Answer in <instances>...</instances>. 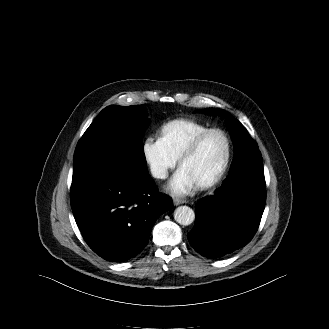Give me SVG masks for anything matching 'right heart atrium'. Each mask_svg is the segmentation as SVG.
I'll list each match as a JSON object with an SVG mask.
<instances>
[{
	"instance_id": "1",
	"label": "right heart atrium",
	"mask_w": 329,
	"mask_h": 329,
	"mask_svg": "<svg viewBox=\"0 0 329 329\" xmlns=\"http://www.w3.org/2000/svg\"><path fill=\"white\" fill-rule=\"evenodd\" d=\"M142 152L151 174L159 180L165 179L177 164V159L160 138L147 137L143 141Z\"/></svg>"
}]
</instances>
